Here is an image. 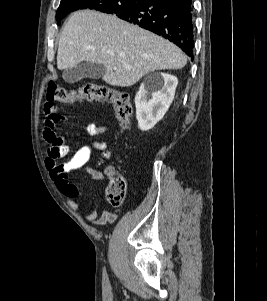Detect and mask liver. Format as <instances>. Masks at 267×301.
<instances>
[{
  "label": "liver",
  "mask_w": 267,
  "mask_h": 301,
  "mask_svg": "<svg viewBox=\"0 0 267 301\" xmlns=\"http://www.w3.org/2000/svg\"><path fill=\"white\" fill-rule=\"evenodd\" d=\"M82 62L102 64L107 84L129 87L149 72L183 68L187 56L170 41L115 15L81 10L64 25L57 68L66 70Z\"/></svg>",
  "instance_id": "1"
}]
</instances>
